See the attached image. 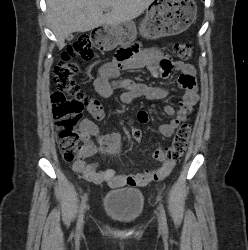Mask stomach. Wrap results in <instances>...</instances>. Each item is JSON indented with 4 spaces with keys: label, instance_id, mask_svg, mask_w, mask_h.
<instances>
[{
    "label": "stomach",
    "instance_id": "0dacf381",
    "mask_svg": "<svg viewBox=\"0 0 248 250\" xmlns=\"http://www.w3.org/2000/svg\"><path fill=\"white\" fill-rule=\"evenodd\" d=\"M197 6L194 0H155L146 11L139 26V34L147 39H157L185 31L196 19ZM103 49L112 50L118 45L128 46L137 37L134 22L104 25Z\"/></svg>",
    "mask_w": 248,
    "mask_h": 250
}]
</instances>
